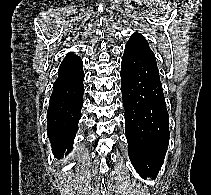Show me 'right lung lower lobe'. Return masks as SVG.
Wrapping results in <instances>:
<instances>
[{"label":"right lung lower lobe","instance_id":"98d812e1","mask_svg":"<svg viewBox=\"0 0 211 195\" xmlns=\"http://www.w3.org/2000/svg\"><path fill=\"white\" fill-rule=\"evenodd\" d=\"M82 66L59 73L54 82L47 111V132L52 151L60 159L72 150L78 130L84 93Z\"/></svg>","mask_w":211,"mask_h":195}]
</instances>
